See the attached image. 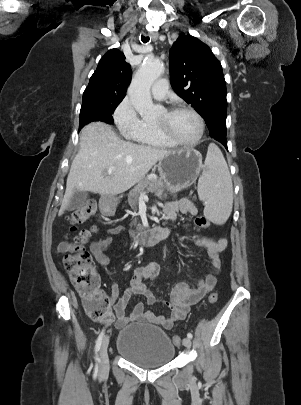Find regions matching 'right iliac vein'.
<instances>
[{
	"label": "right iliac vein",
	"instance_id": "1",
	"mask_svg": "<svg viewBox=\"0 0 301 405\" xmlns=\"http://www.w3.org/2000/svg\"><path fill=\"white\" fill-rule=\"evenodd\" d=\"M109 345V336H105L101 347H100V352H99V373L101 375H105L108 372L109 369V358H108V349Z\"/></svg>",
	"mask_w": 301,
	"mask_h": 405
}]
</instances>
